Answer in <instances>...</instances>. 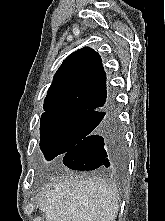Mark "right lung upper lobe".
<instances>
[{
    "instance_id": "cb5924a9",
    "label": "right lung upper lobe",
    "mask_w": 165,
    "mask_h": 221,
    "mask_svg": "<svg viewBox=\"0 0 165 221\" xmlns=\"http://www.w3.org/2000/svg\"><path fill=\"white\" fill-rule=\"evenodd\" d=\"M106 74L101 57L89 47L73 52L56 72L44 101L46 112H97L105 108Z\"/></svg>"
}]
</instances>
